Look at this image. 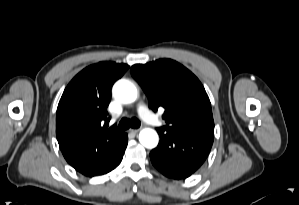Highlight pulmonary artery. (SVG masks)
Segmentation results:
<instances>
[{"mask_svg": "<svg viewBox=\"0 0 299 205\" xmlns=\"http://www.w3.org/2000/svg\"><path fill=\"white\" fill-rule=\"evenodd\" d=\"M138 113L145 122L151 125L158 126L161 124L155 115L145 105L138 106Z\"/></svg>", "mask_w": 299, "mask_h": 205, "instance_id": "obj_1", "label": "pulmonary artery"}]
</instances>
